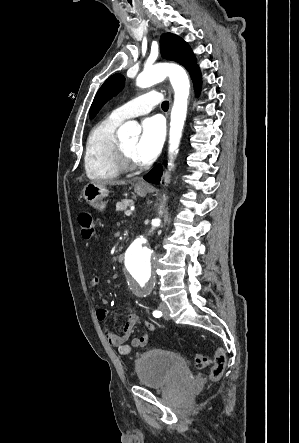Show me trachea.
<instances>
[{"label":"trachea","instance_id":"1","mask_svg":"<svg viewBox=\"0 0 299 443\" xmlns=\"http://www.w3.org/2000/svg\"><path fill=\"white\" fill-rule=\"evenodd\" d=\"M168 107H169V102H168V101H164V102L162 103V109L167 110Z\"/></svg>","mask_w":299,"mask_h":443}]
</instances>
